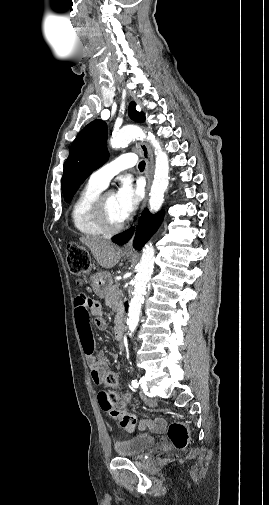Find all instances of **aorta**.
<instances>
[{
	"label": "aorta",
	"mask_w": 269,
	"mask_h": 505,
	"mask_svg": "<svg viewBox=\"0 0 269 505\" xmlns=\"http://www.w3.org/2000/svg\"><path fill=\"white\" fill-rule=\"evenodd\" d=\"M140 138L147 139L155 149V172L150 190L149 206L153 212H158L164 202L165 192L169 184V160L166 152L163 151L159 141L152 133L146 134L138 126H125L112 135L110 145L118 149L128 145L132 140ZM154 269V247L151 243L144 246L137 274L134 280V291L129 304L127 325L129 335L136 330L141 314L142 304L146 289L151 279Z\"/></svg>",
	"instance_id": "obj_1"
}]
</instances>
